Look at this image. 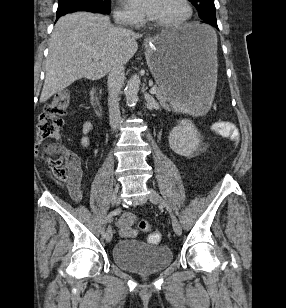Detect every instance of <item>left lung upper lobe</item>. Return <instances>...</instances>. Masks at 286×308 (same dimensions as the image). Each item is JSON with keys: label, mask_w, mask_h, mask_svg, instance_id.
<instances>
[{"label": "left lung upper lobe", "mask_w": 286, "mask_h": 308, "mask_svg": "<svg viewBox=\"0 0 286 308\" xmlns=\"http://www.w3.org/2000/svg\"><path fill=\"white\" fill-rule=\"evenodd\" d=\"M198 10L201 19L215 15V5L213 0H189Z\"/></svg>", "instance_id": "1"}]
</instances>
